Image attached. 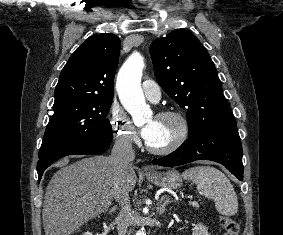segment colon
<instances>
[{"label":"colon","mask_w":283,"mask_h":235,"mask_svg":"<svg viewBox=\"0 0 283 235\" xmlns=\"http://www.w3.org/2000/svg\"><path fill=\"white\" fill-rule=\"evenodd\" d=\"M220 224L225 231L224 235H239L240 228L235 219L229 216H221Z\"/></svg>","instance_id":"colon-1"}]
</instances>
